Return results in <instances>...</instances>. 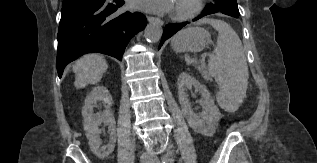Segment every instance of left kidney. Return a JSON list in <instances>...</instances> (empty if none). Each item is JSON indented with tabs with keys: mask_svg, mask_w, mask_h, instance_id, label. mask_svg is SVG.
I'll list each match as a JSON object with an SVG mask.
<instances>
[{
	"mask_svg": "<svg viewBox=\"0 0 317 163\" xmlns=\"http://www.w3.org/2000/svg\"><path fill=\"white\" fill-rule=\"evenodd\" d=\"M177 86L181 110L189 126L204 136H213L222 115L209 91L195 77L186 72H182L179 75ZM192 87L202 95L200 102L202 112L200 114L194 112L186 95L187 89H191Z\"/></svg>",
	"mask_w": 317,
	"mask_h": 163,
	"instance_id": "1",
	"label": "left kidney"
}]
</instances>
